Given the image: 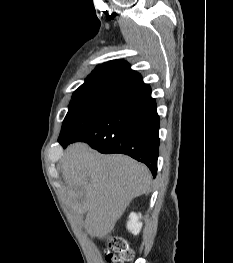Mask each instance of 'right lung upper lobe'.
I'll return each mask as SVG.
<instances>
[{
    "label": "right lung upper lobe",
    "instance_id": "obj_1",
    "mask_svg": "<svg viewBox=\"0 0 233 263\" xmlns=\"http://www.w3.org/2000/svg\"><path fill=\"white\" fill-rule=\"evenodd\" d=\"M144 84L139 73L124 60H113L102 65L87 77L73 95L108 94L119 96Z\"/></svg>",
    "mask_w": 233,
    "mask_h": 263
}]
</instances>
